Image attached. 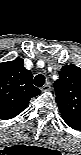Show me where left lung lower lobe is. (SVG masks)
Segmentation results:
<instances>
[{
  "mask_svg": "<svg viewBox=\"0 0 81 155\" xmlns=\"http://www.w3.org/2000/svg\"><path fill=\"white\" fill-rule=\"evenodd\" d=\"M68 126L75 130H80L81 129V123L77 121H69V120H64Z\"/></svg>",
  "mask_w": 81,
  "mask_h": 155,
  "instance_id": "obj_1",
  "label": "left lung lower lobe"
}]
</instances>
